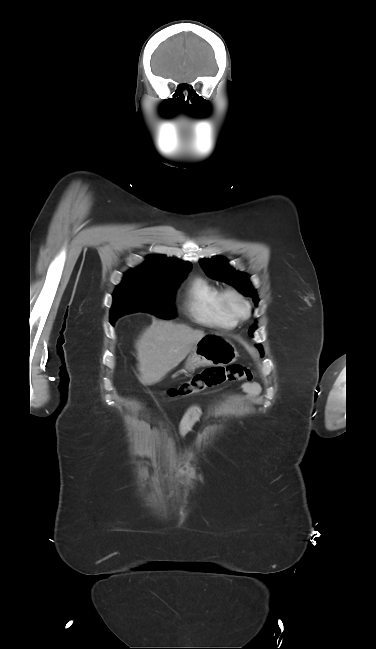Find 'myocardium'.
Instances as JSON below:
<instances>
[{
	"mask_svg": "<svg viewBox=\"0 0 376 649\" xmlns=\"http://www.w3.org/2000/svg\"><path fill=\"white\" fill-rule=\"evenodd\" d=\"M222 303L227 313L235 318L237 321L246 319L250 314V303L247 298L236 289H226L222 291ZM234 302H238L241 308L238 309L234 306Z\"/></svg>",
	"mask_w": 376,
	"mask_h": 649,
	"instance_id": "1",
	"label": "myocardium"
}]
</instances>
